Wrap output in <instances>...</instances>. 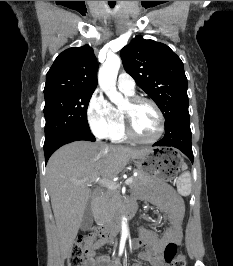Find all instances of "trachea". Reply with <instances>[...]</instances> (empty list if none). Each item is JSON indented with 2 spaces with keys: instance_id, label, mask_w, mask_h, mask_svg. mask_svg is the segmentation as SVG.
I'll list each match as a JSON object with an SVG mask.
<instances>
[{
  "instance_id": "1",
  "label": "trachea",
  "mask_w": 233,
  "mask_h": 266,
  "mask_svg": "<svg viewBox=\"0 0 233 266\" xmlns=\"http://www.w3.org/2000/svg\"><path fill=\"white\" fill-rule=\"evenodd\" d=\"M108 3L111 8H114L116 1H108Z\"/></svg>"
}]
</instances>
